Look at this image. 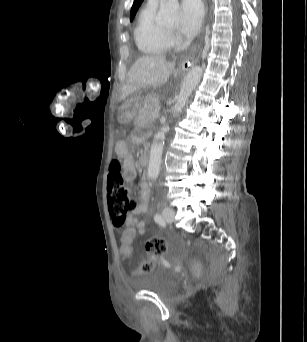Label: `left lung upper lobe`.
<instances>
[{"label":"left lung upper lobe","instance_id":"left-lung-upper-lobe-1","mask_svg":"<svg viewBox=\"0 0 307 342\" xmlns=\"http://www.w3.org/2000/svg\"><path fill=\"white\" fill-rule=\"evenodd\" d=\"M143 2V0H134L133 6L131 8V12H130V21L133 20L139 6L141 5V3Z\"/></svg>","mask_w":307,"mask_h":342}]
</instances>
